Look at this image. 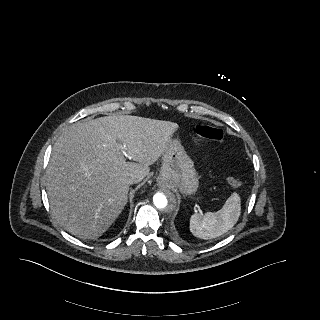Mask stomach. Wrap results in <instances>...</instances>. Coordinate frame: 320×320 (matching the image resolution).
<instances>
[{
  "instance_id": "obj_1",
  "label": "stomach",
  "mask_w": 320,
  "mask_h": 320,
  "mask_svg": "<svg viewBox=\"0 0 320 320\" xmlns=\"http://www.w3.org/2000/svg\"><path fill=\"white\" fill-rule=\"evenodd\" d=\"M162 166L157 177L160 186L176 189L182 194H194L199 185L194 162L187 155L180 141L170 139L162 157Z\"/></svg>"
}]
</instances>
